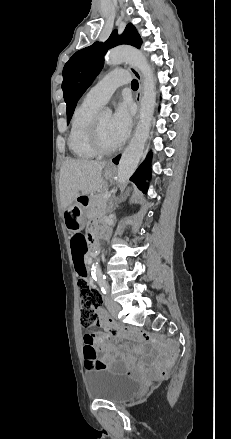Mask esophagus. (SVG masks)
I'll list each match as a JSON object with an SVG mask.
<instances>
[{
    "instance_id": "obj_1",
    "label": "esophagus",
    "mask_w": 231,
    "mask_h": 439,
    "mask_svg": "<svg viewBox=\"0 0 231 439\" xmlns=\"http://www.w3.org/2000/svg\"><path fill=\"white\" fill-rule=\"evenodd\" d=\"M128 70L134 75V77L137 79L139 87L136 92V102L138 105H140L142 94H143V79L141 73L133 66L129 65L127 66Z\"/></svg>"
}]
</instances>
